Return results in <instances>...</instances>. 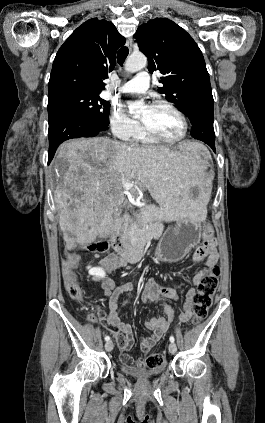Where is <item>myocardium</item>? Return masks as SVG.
Here are the masks:
<instances>
[{"label":"myocardium","instance_id":"myocardium-1","mask_svg":"<svg viewBox=\"0 0 265 423\" xmlns=\"http://www.w3.org/2000/svg\"><path fill=\"white\" fill-rule=\"evenodd\" d=\"M149 107L150 108L165 107V108H169L170 110H172L181 119L182 124H183V131H182L181 135L177 138H166V137H163V136L157 134L153 130H151L143 122H140L141 130L147 137H149L150 139H152L154 141L166 143V144L179 143L186 138V136L188 134V130H189L188 119H187L186 115L177 106H175L174 104H172L168 101L160 100V101H155V102L151 103L149 105Z\"/></svg>","mask_w":265,"mask_h":423}]
</instances>
